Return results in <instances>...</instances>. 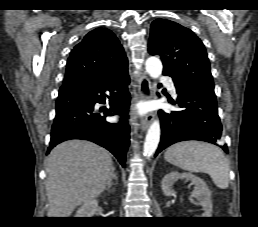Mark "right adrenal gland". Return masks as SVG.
<instances>
[{
  "label": "right adrenal gland",
  "instance_id": "1",
  "mask_svg": "<svg viewBox=\"0 0 258 227\" xmlns=\"http://www.w3.org/2000/svg\"><path fill=\"white\" fill-rule=\"evenodd\" d=\"M118 180L116 174H115V168L113 169V172H112V176L111 178L109 179L108 183H107V189L110 190L111 186H112V180Z\"/></svg>",
  "mask_w": 258,
  "mask_h": 227
}]
</instances>
